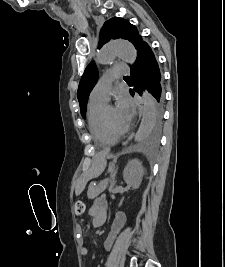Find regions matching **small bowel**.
Returning a JSON list of instances; mask_svg holds the SVG:
<instances>
[{"instance_id": "1", "label": "small bowel", "mask_w": 225, "mask_h": 267, "mask_svg": "<svg viewBox=\"0 0 225 267\" xmlns=\"http://www.w3.org/2000/svg\"><path fill=\"white\" fill-rule=\"evenodd\" d=\"M107 211V205L104 199H99L89 210V214L93 217L94 219L98 216L99 213L103 212L106 215ZM125 224V218L123 215L119 214L116 216L112 227L111 231L109 232L106 240H105V247L107 249H110L113 245V242L120 231V229L124 226ZM80 253L82 256L87 255L88 250L85 246H83L80 250Z\"/></svg>"}]
</instances>
